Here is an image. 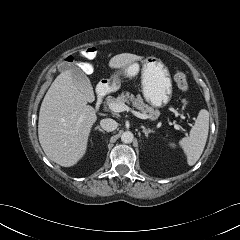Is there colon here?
Masks as SVG:
<instances>
[{
	"instance_id": "5ec220e1",
	"label": "colon",
	"mask_w": 240,
	"mask_h": 240,
	"mask_svg": "<svg viewBox=\"0 0 240 240\" xmlns=\"http://www.w3.org/2000/svg\"><path fill=\"white\" fill-rule=\"evenodd\" d=\"M81 55L86 58H93L96 55V49L93 47L85 48L81 51ZM66 61L72 62L73 58L71 56H69L66 58ZM174 80H175L177 86L181 90L185 91L188 89V79H187L186 74L183 71L176 70L174 73Z\"/></svg>"
}]
</instances>
